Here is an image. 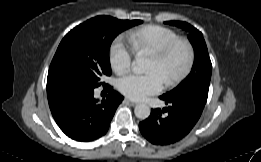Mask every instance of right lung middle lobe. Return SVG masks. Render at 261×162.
<instances>
[{
    "label": "right lung middle lobe",
    "mask_w": 261,
    "mask_h": 162,
    "mask_svg": "<svg viewBox=\"0 0 261 162\" xmlns=\"http://www.w3.org/2000/svg\"><path fill=\"white\" fill-rule=\"evenodd\" d=\"M142 23L97 16L73 28L61 41L47 77V96L66 86L94 89L111 75L109 48L122 31Z\"/></svg>",
    "instance_id": "right-lung-middle-lobe-1"
}]
</instances>
